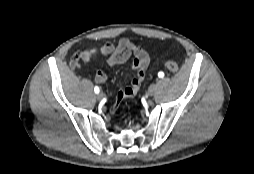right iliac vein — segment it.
<instances>
[{"instance_id":"obj_1","label":"right iliac vein","mask_w":254,"mask_h":174,"mask_svg":"<svg viewBox=\"0 0 254 174\" xmlns=\"http://www.w3.org/2000/svg\"><path fill=\"white\" fill-rule=\"evenodd\" d=\"M103 97H104L103 93H98V94H97V99H98V100H102Z\"/></svg>"}]
</instances>
